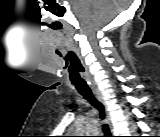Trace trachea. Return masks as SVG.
<instances>
[{
    "instance_id": "3493384b",
    "label": "trachea",
    "mask_w": 160,
    "mask_h": 137,
    "mask_svg": "<svg viewBox=\"0 0 160 137\" xmlns=\"http://www.w3.org/2000/svg\"><path fill=\"white\" fill-rule=\"evenodd\" d=\"M71 55L73 56V60H70L71 63L70 68L73 70V74L70 77L72 83L76 86L80 94L99 111L101 119H104L105 110L103 105L94 97L91 91L84 92L81 90L84 87H88L86 81L80 75V72H84V69L79 59L73 53H71ZM102 130L104 132V136L102 137H112L107 124L103 125Z\"/></svg>"
}]
</instances>
